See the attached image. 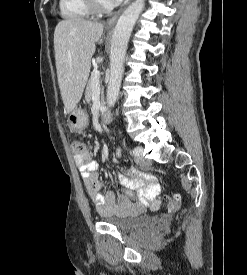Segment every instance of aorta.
I'll list each match as a JSON object with an SVG mask.
<instances>
[{
    "instance_id": "aorta-1",
    "label": "aorta",
    "mask_w": 247,
    "mask_h": 275,
    "mask_svg": "<svg viewBox=\"0 0 247 275\" xmlns=\"http://www.w3.org/2000/svg\"><path fill=\"white\" fill-rule=\"evenodd\" d=\"M145 0H134L122 13L115 26L110 51V77L107 87V103L114 106L122 80L123 63L133 27L143 11Z\"/></svg>"
}]
</instances>
